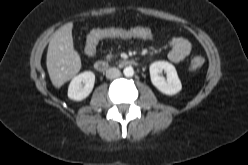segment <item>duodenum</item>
Returning <instances> with one entry per match:
<instances>
[{
  "mask_svg": "<svg viewBox=\"0 0 248 165\" xmlns=\"http://www.w3.org/2000/svg\"><path fill=\"white\" fill-rule=\"evenodd\" d=\"M122 66H137L136 60H124L121 62ZM109 67V63L105 60H98L94 63V68L99 73H104Z\"/></svg>",
  "mask_w": 248,
  "mask_h": 165,
  "instance_id": "1",
  "label": "duodenum"
}]
</instances>
